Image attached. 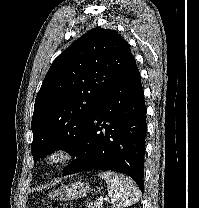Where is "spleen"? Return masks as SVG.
Wrapping results in <instances>:
<instances>
[{
  "label": "spleen",
  "mask_w": 199,
  "mask_h": 208,
  "mask_svg": "<svg viewBox=\"0 0 199 208\" xmlns=\"http://www.w3.org/2000/svg\"><path fill=\"white\" fill-rule=\"evenodd\" d=\"M99 177L107 183L113 208L128 207L139 201L140 192L130 178L111 171L101 172Z\"/></svg>",
  "instance_id": "1"
}]
</instances>
